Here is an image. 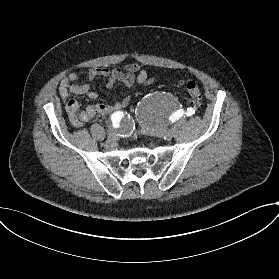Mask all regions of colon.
<instances>
[{
  "label": "colon",
  "instance_id": "colon-1",
  "mask_svg": "<svg viewBox=\"0 0 279 279\" xmlns=\"http://www.w3.org/2000/svg\"><path fill=\"white\" fill-rule=\"evenodd\" d=\"M185 86L192 101L195 103L196 106L200 107L202 104V92L197 82L193 80H188Z\"/></svg>",
  "mask_w": 279,
  "mask_h": 279
}]
</instances>
